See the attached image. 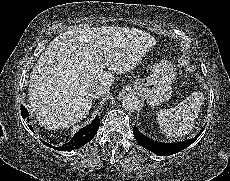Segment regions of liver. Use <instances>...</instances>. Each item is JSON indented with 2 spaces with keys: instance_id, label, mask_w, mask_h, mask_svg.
Listing matches in <instances>:
<instances>
[{
  "instance_id": "obj_1",
  "label": "liver",
  "mask_w": 230,
  "mask_h": 181,
  "mask_svg": "<svg viewBox=\"0 0 230 181\" xmlns=\"http://www.w3.org/2000/svg\"><path fill=\"white\" fill-rule=\"evenodd\" d=\"M154 44L145 32L116 27L84 26L61 33L30 75L29 104L36 119L47 129H64L86 118L93 101L90 89L110 88L114 74L135 69Z\"/></svg>"
}]
</instances>
